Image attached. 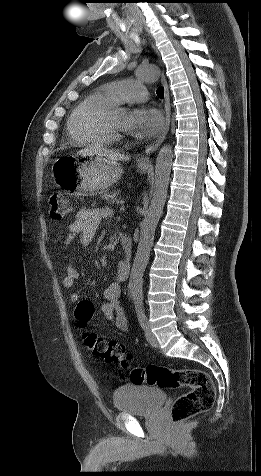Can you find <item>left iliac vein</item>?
Listing matches in <instances>:
<instances>
[{
    "instance_id": "left-iliac-vein-1",
    "label": "left iliac vein",
    "mask_w": 261,
    "mask_h": 476,
    "mask_svg": "<svg viewBox=\"0 0 261 476\" xmlns=\"http://www.w3.org/2000/svg\"><path fill=\"white\" fill-rule=\"evenodd\" d=\"M145 336H146V339H147L148 343L152 347H158L159 346L158 340H157L156 336L154 335V333H152L148 323L145 327Z\"/></svg>"
}]
</instances>
